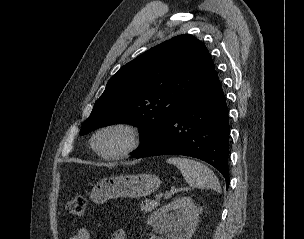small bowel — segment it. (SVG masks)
<instances>
[{
  "label": "small bowel",
  "instance_id": "obj_1",
  "mask_svg": "<svg viewBox=\"0 0 304 239\" xmlns=\"http://www.w3.org/2000/svg\"><path fill=\"white\" fill-rule=\"evenodd\" d=\"M126 234L124 230L116 231L110 239H125ZM91 235L90 232L86 228H80L77 230L70 239H90Z\"/></svg>",
  "mask_w": 304,
  "mask_h": 239
}]
</instances>
